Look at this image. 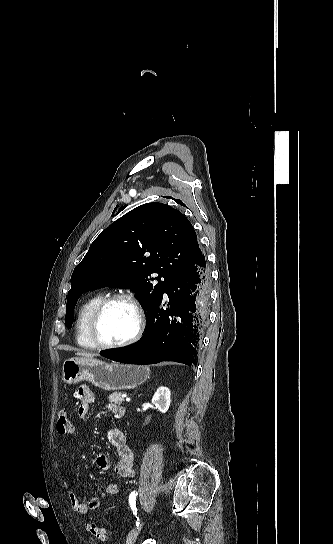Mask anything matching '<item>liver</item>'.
<instances>
[{"label": "liver", "instance_id": "obj_1", "mask_svg": "<svg viewBox=\"0 0 333 544\" xmlns=\"http://www.w3.org/2000/svg\"><path fill=\"white\" fill-rule=\"evenodd\" d=\"M76 355L82 356L83 358H87V359L97 356L96 354L87 353V352H78V353H76Z\"/></svg>", "mask_w": 333, "mask_h": 544}]
</instances>
